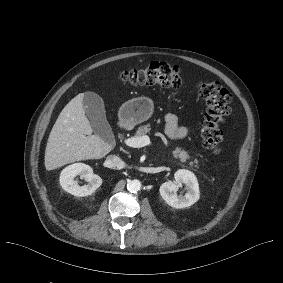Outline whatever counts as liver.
Listing matches in <instances>:
<instances>
[{"mask_svg": "<svg viewBox=\"0 0 283 283\" xmlns=\"http://www.w3.org/2000/svg\"><path fill=\"white\" fill-rule=\"evenodd\" d=\"M84 93L75 96L59 114L45 150L46 170L80 160L101 159L113 146L93 130L83 107Z\"/></svg>", "mask_w": 283, "mask_h": 283, "instance_id": "6515ba94", "label": "liver"}]
</instances>
